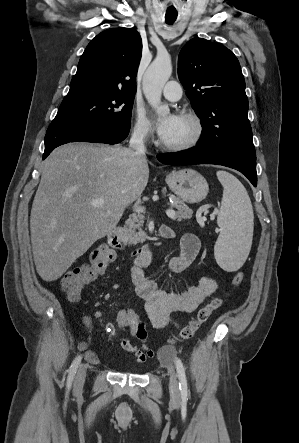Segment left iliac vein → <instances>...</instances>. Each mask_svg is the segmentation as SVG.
Instances as JSON below:
<instances>
[{"label":"left iliac vein","mask_w":299,"mask_h":443,"mask_svg":"<svg viewBox=\"0 0 299 443\" xmlns=\"http://www.w3.org/2000/svg\"><path fill=\"white\" fill-rule=\"evenodd\" d=\"M168 372H169V375H170V378H169V389H170L171 396L174 399H178L179 396H180L179 382H178L177 374L175 372L174 367L170 365L168 367Z\"/></svg>","instance_id":"1"}]
</instances>
